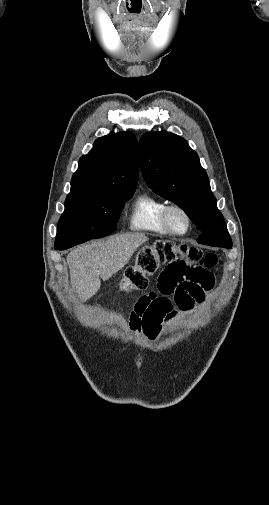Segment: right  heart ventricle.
Masks as SVG:
<instances>
[{
	"label": "right heart ventricle",
	"instance_id": "1",
	"mask_svg": "<svg viewBox=\"0 0 269 505\" xmlns=\"http://www.w3.org/2000/svg\"><path fill=\"white\" fill-rule=\"evenodd\" d=\"M165 206L166 203L163 200L148 192L139 194L130 208L129 228L154 235H169L161 220V213Z\"/></svg>",
	"mask_w": 269,
	"mask_h": 505
}]
</instances>
